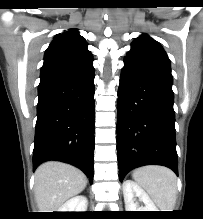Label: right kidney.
Segmentation results:
<instances>
[{
    "instance_id": "right-kidney-1",
    "label": "right kidney",
    "mask_w": 203,
    "mask_h": 219,
    "mask_svg": "<svg viewBox=\"0 0 203 219\" xmlns=\"http://www.w3.org/2000/svg\"><path fill=\"white\" fill-rule=\"evenodd\" d=\"M88 200L85 196H75L65 202L58 212H86Z\"/></svg>"
}]
</instances>
